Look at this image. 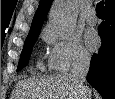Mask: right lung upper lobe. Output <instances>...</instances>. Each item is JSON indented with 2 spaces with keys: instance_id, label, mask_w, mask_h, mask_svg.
<instances>
[{
  "instance_id": "right-lung-upper-lobe-1",
  "label": "right lung upper lobe",
  "mask_w": 115,
  "mask_h": 99,
  "mask_svg": "<svg viewBox=\"0 0 115 99\" xmlns=\"http://www.w3.org/2000/svg\"><path fill=\"white\" fill-rule=\"evenodd\" d=\"M51 3H52V0H40L38 9L34 15L31 29H30V32L28 35L40 33L42 24L47 16V13H48ZM114 6H115V0H106L104 10H107Z\"/></svg>"
}]
</instances>
